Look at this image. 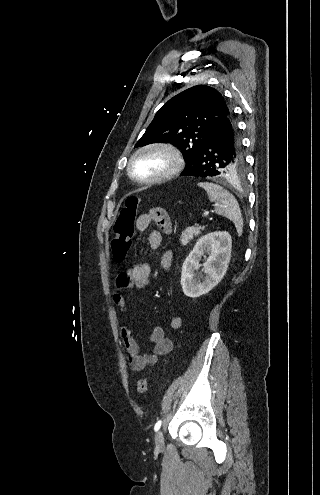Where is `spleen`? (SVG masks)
<instances>
[{"mask_svg": "<svg viewBox=\"0 0 320 495\" xmlns=\"http://www.w3.org/2000/svg\"><path fill=\"white\" fill-rule=\"evenodd\" d=\"M198 185L206 190L210 201L215 205L216 213L232 221L238 235L241 236L243 232V219L235 197L223 187L214 183L201 182Z\"/></svg>", "mask_w": 320, "mask_h": 495, "instance_id": "1", "label": "spleen"}]
</instances>
